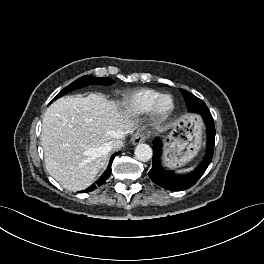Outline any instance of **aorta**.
Segmentation results:
<instances>
[{
	"label": "aorta",
	"instance_id": "aorta-1",
	"mask_svg": "<svg viewBox=\"0 0 264 264\" xmlns=\"http://www.w3.org/2000/svg\"><path fill=\"white\" fill-rule=\"evenodd\" d=\"M153 151L148 144H138L135 148V156L139 161L147 162L152 158Z\"/></svg>",
	"mask_w": 264,
	"mask_h": 264
}]
</instances>
